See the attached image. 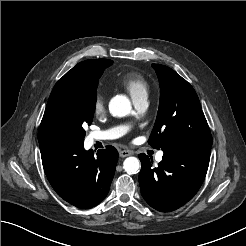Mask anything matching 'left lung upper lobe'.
I'll return each instance as SVG.
<instances>
[{
	"label": "left lung upper lobe",
	"instance_id": "5c2ea615",
	"mask_svg": "<svg viewBox=\"0 0 246 246\" xmlns=\"http://www.w3.org/2000/svg\"><path fill=\"white\" fill-rule=\"evenodd\" d=\"M160 83V104L148 143L211 146L212 136L193 87L171 68L152 64Z\"/></svg>",
	"mask_w": 246,
	"mask_h": 246
}]
</instances>
